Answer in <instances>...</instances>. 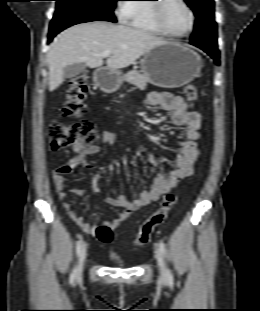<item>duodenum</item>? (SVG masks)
<instances>
[{
	"label": "duodenum",
	"mask_w": 260,
	"mask_h": 311,
	"mask_svg": "<svg viewBox=\"0 0 260 311\" xmlns=\"http://www.w3.org/2000/svg\"><path fill=\"white\" fill-rule=\"evenodd\" d=\"M104 75L105 71L103 69H99L95 74L96 81L100 82V78H102Z\"/></svg>",
	"instance_id": "410a0bca"
}]
</instances>
